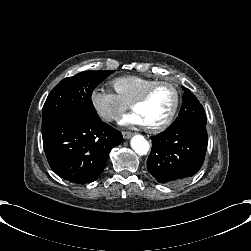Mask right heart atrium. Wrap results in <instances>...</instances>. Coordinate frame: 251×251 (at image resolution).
<instances>
[{"instance_id":"right-heart-atrium-1","label":"right heart atrium","mask_w":251,"mask_h":251,"mask_svg":"<svg viewBox=\"0 0 251 251\" xmlns=\"http://www.w3.org/2000/svg\"><path fill=\"white\" fill-rule=\"evenodd\" d=\"M89 102L94 112L108 123L116 120L130 107L117 93L106 88H93L89 94Z\"/></svg>"}]
</instances>
